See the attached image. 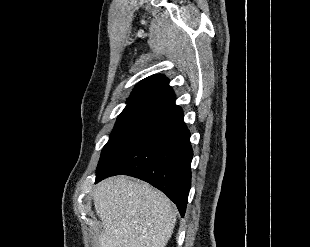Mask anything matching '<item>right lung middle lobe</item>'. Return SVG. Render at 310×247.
<instances>
[{"label":"right lung middle lobe","instance_id":"dd1d6c3e","mask_svg":"<svg viewBox=\"0 0 310 247\" xmlns=\"http://www.w3.org/2000/svg\"><path fill=\"white\" fill-rule=\"evenodd\" d=\"M157 114L151 109H124L118 116L109 141L102 150L97 170L104 166L144 124Z\"/></svg>","mask_w":310,"mask_h":247}]
</instances>
